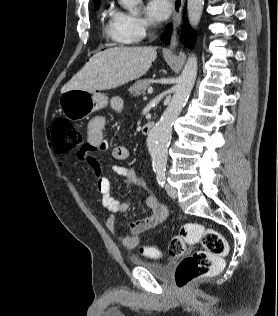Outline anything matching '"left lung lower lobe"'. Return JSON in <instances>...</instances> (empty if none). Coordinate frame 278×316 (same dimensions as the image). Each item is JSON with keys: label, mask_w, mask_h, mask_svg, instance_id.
Wrapping results in <instances>:
<instances>
[{"label": "left lung lower lobe", "mask_w": 278, "mask_h": 316, "mask_svg": "<svg viewBox=\"0 0 278 316\" xmlns=\"http://www.w3.org/2000/svg\"><path fill=\"white\" fill-rule=\"evenodd\" d=\"M194 32L189 28V26L185 23L184 24V38H185V45L188 47H192L194 43Z\"/></svg>", "instance_id": "obj_1"}]
</instances>
